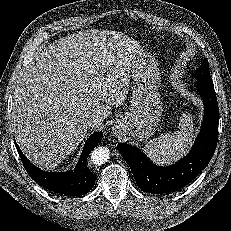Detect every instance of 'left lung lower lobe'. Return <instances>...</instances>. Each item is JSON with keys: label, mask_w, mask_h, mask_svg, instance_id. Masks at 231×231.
Masks as SVG:
<instances>
[{"label": "left lung lower lobe", "mask_w": 231, "mask_h": 231, "mask_svg": "<svg viewBox=\"0 0 231 231\" xmlns=\"http://www.w3.org/2000/svg\"><path fill=\"white\" fill-rule=\"evenodd\" d=\"M200 96L205 105L200 133L189 154L178 163L159 167L134 146L117 145L119 153L130 166L138 187L153 194L180 190L208 165L218 140L219 109L213 83L197 81Z\"/></svg>", "instance_id": "left-lung-lower-lobe-1"}]
</instances>
